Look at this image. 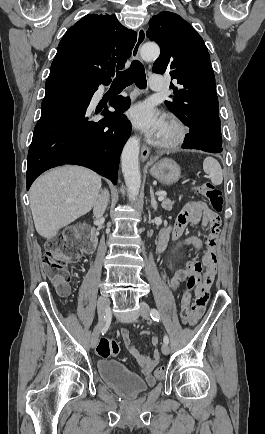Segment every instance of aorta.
Masks as SVG:
<instances>
[{
  "label": "aorta",
  "mask_w": 265,
  "mask_h": 434,
  "mask_svg": "<svg viewBox=\"0 0 265 434\" xmlns=\"http://www.w3.org/2000/svg\"><path fill=\"white\" fill-rule=\"evenodd\" d=\"M142 60H155L160 54V50L156 44H144L140 50ZM139 140L136 136L129 138L126 142L122 156V174L124 176L125 184L128 188L130 200H135L139 194L141 186V176L139 172Z\"/></svg>",
  "instance_id": "aorta-1"
}]
</instances>
